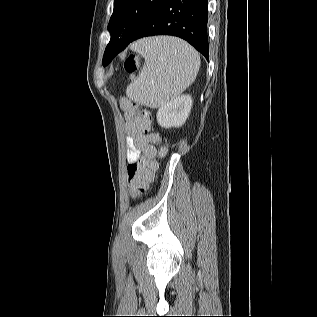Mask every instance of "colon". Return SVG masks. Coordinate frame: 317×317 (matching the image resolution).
Masks as SVG:
<instances>
[{
  "label": "colon",
  "mask_w": 317,
  "mask_h": 317,
  "mask_svg": "<svg viewBox=\"0 0 317 317\" xmlns=\"http://www.w3.org/2000/svg\"><path fill=\"white\" fill-rule=\"evenodd\" d=\"M137 66L138 61L134 55L127 57L124 67L130 75L134 74ZM151 119L150 111L145 108L137 112L134 122L139 129L147 132L151 125ZM165 153L166 148L162 147L159 153L160 156H164ZM155 166L156 163L154 161L147 159H140L127 166L128 184L132 196H138L147 189L148 184L152 179Z\"/></svg>",
  "instance_id": "colon-1"
}]
</instances>
